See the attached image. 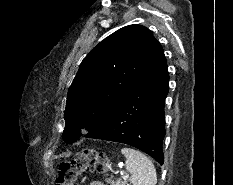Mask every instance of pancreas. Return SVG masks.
Instances as JSON below:
<instances>
[{
  "instance_id": "pancreas-1",
  "label": "pancreas",
  "mask_w": 233,
  "mask_h": 185,
  "mask_svg": "<svg viewBox=\"0 0 233 185\" xmlns=\"http://www.w3.org/2000/svg\"><path fill=\"white\" fill-rule=\"evenodd\" d=\"M106 182L110 185H129L126 180L121 181V180H113L112 178L106 179Z\"/></svg>"
}]
</instances>
